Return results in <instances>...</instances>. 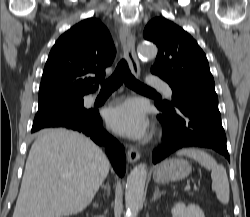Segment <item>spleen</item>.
Segmentation results:
<instances>
[{"mask_svg":"<svg viewBox=\"0 0 250 217\" xmlns=\"http://www.w3.org/2000/svg\"><path fill=\"white\" fill-rule=\"evenodd\" d=\"M179 156H188L201 164L207 170H211L212 190L215 191L218 200L222 204L229 202V182L224 166L205 151L196 148H186L177 152Z\"/></svg>","mask_w":250,"mask_h":217,"instance_id":"obj_1","label":"spleen"}]
</instances>
